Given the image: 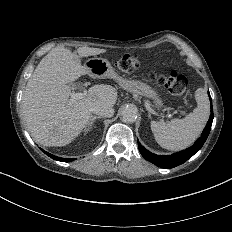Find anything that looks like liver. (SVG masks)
I'll list each match as a JSON object with an SVG mask.
<instances>
[{
	"label": "liver",
	"mask_w": 232,
	"mask_h": 232,
	"mask_svg": "<svg viewBox=\"0 0 232 232\" xmlns=\"http://www.w3.org/2000/svg\"><path fill=\"white\" fill-rule=\"evenodd\" d=\"M106 52L81 46L75 55L72 47L62 46L49 51L38 63L23 93L22 112L30 134L40 144H72L86 128L95 106L116 105L117 90L105 84L93 85L81 98L68 99V84L91 75V68L81 63L82 59Z\"/></svg>",
	"instance_id": "6515ba94"
}]
</instances>
